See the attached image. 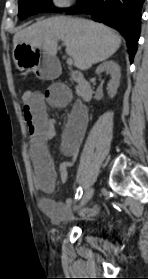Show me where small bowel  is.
Listing matches in <instances>:
<instances>
[{
	"label": "small bowel",
	"mask_w": 148,
	"mask_h": 279,
	"mask_svg": "<svg viewBox=\"0 0 148 279\" xmlns=\"http://www.w3.org/2000/svg\"><path fill=\"white\" fill-rule=\"evenodd\" d=\"M71 99L69 89L60 83L52 84L43 92L34 93L31 102L24 103V119L30 132V155L36 171L34 186L37 190L49 193L56 179L53 160L47 150V142L56 135L53 120L47 113V107L66 106ZM88 126V114L82 106H77L71 112L62 136V151L68 159L59 166V177L62 182L68 181L67 170L75 162ZM42 210L54 220L62 221L67 217L73 205L71 198L64 202H55L44 197L40 202ZM97 208L85 209L82 214L95 215Z\"/></svg>",
	"instance_id": "c3829d8e"
}]
</instances>
